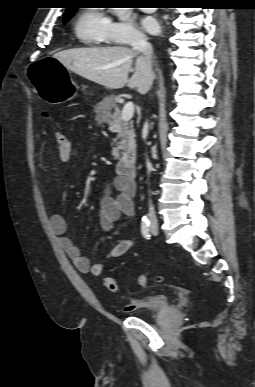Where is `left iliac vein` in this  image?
Wrapping results in <instances>:
<instances>
[{
    "label": "left iliac vein",
    "mask_w": 255,
    "mask_h": 387,
    "mask_svg": "<svg viewBox=\"0 0 255 387\" xmlns=\"http://www.w3.org/2000/svg\"><path fill=\"white\" fill-rule=\"evenodd\" d=\"M151 232L153 235H157L158 234V228H157V225H153L152 228H151Z\"/></svg>",
    "instance_id": "1"
}]
</instances>
